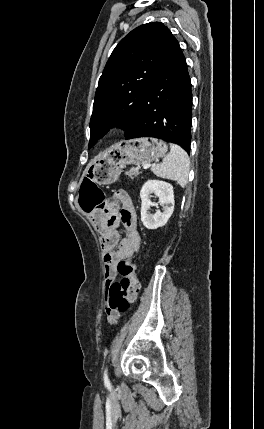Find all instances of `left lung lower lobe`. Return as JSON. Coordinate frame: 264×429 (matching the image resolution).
Returning <instances> with one entry per match:
<instances>
[{"label": "left lung lower lobe", "mask_w": 264, "mask_h": 429, "mask_svg": "<svg viewBox=\"0 0 264 429\" xmlns=\"http://www.w3.org/2000/svg\"><path fill=\"white\" fill-rule=\"evenodd\" d=\"M191 109L186 59L172 36L158 72L145 92L139 118L126 139L154 137L176 143L189 153Z\"/></svg>", "instance_id": "1"}]
</instances>
